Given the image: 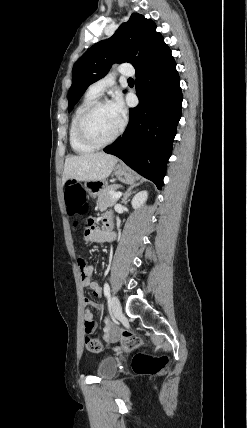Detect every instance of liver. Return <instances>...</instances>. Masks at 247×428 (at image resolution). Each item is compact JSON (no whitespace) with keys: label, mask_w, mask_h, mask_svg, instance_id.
<instances>
[{"label":"liver","mask_w":247,"mask_h":428,"mask_svg":"<svg viewBox=\"0 0 247 428\" xmlns=\"http://www.w3.org/2000/svg\"><path fill=\"white\" fill-rule=\"evenodd\" d=\"M118 159L103 152L85 153L71 156L65 160L62 182L70 179L77 181H103L110 176Z\"/></svg>","instance_id":"obj_1"}]
</instances>
